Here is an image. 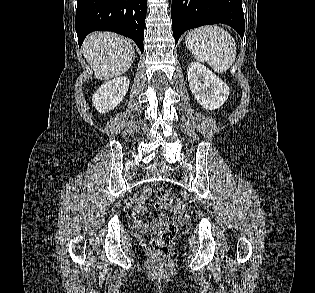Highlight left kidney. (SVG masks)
<instances>
[{
	"label": "left kidney",
	"instance_id": "left-kidney-1",
	"mask_svg": "<svg viewBox=\"0 0 315 293\" xmlns=\"http://www.w3.org/2000/svg\"><path fill=\"white\" fill-rule=\"evenodd\" d=\"M188 82L195 99L206 110H216L228 99L226 83L198 62L188 65Z\"/></svg>",
	"mask_w": 315,
	"mask_h": 293
}]
</instances>
